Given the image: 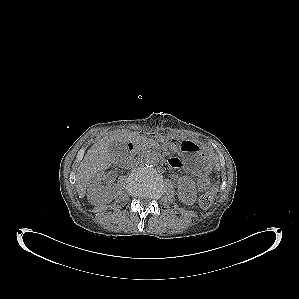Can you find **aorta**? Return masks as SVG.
Listing matches in <instances>:
<instances>
[{
	"label": "aorta",
	"instance_id": "aorta-1",
	"mask_svg": "<svg viewBox=\"0 0 299 299\" xmlns=\"http://www.w3.org/2000/svg\"><path fill=\"white\" fill-rule=\"evenodd\" d=\"M142 162L148 166H155L159 163V155L156 151H146L142 155Z\"/></svg>",
	"mask_w": 299,
	"mask_h": 299
}]
</instances>
